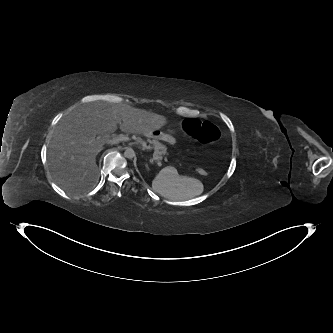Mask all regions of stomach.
I'll list each match as a JSON object with an SVG mask.
<instances>
[{
  "instance_id": "obj_1",
  "label": "stomach",
  "mask_w": 333,
  "mask_h": 333,
  "mask_svg": "<svg viewBox=\"0 0 333 333\" xmlns=\"http://www.w3.org/2000/svg\"><path fill=\"white\" fill-rule=\"evenodd\" d=\"M152 137L153 138H158V139H162V140H168L169 138H171L169 135L163 133V132H160L158 130H155L152 132Z\"/></svg>"
}]
</instances>
